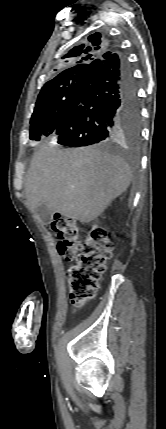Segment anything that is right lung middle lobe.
Segmentation results:
<instances>
[{"instance_id":"1","label":"right lung middle lobe","mask_w":166,"mask_h":429,"mask_svg":"<svg viewBox=\"0 0 166 429\" xmlns=\"http://www.w3.org/2000/svg\"><path fill=\"white\" fill-rule=\"evenodd\" d=\"M84 75H76L52 85L46 91L39 93L34 112L30 121V139L40 141L52 135L63 118L64 112ZM139 129H120L116 136L125 139L131 145L138 144Z\"/></svg>"}]
</instances>
